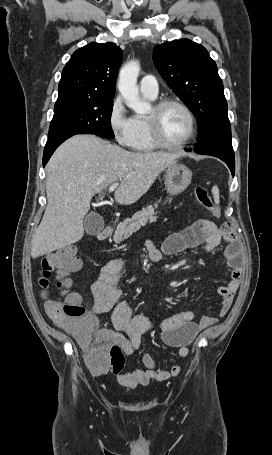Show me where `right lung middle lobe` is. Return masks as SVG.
I'll list each match as a JSON object with an SVG mask.
<instances>
[{
	"label": "right lung middle lobe",
	"instance_id": "obj_1",
	"mask_svg": "<svg viewBox=\"0 0 272 455\" xmlns=\"http://www.w3.org/2000/svg\"><path fill=\"white\" fill-rule=\"evenodd\" d=\"M112 108V99L57 101L48 140L76 134H95L112 139Z\"/></svg>",
	"mask_w": 272,
	"mask_h": 455
}]
</instances>
